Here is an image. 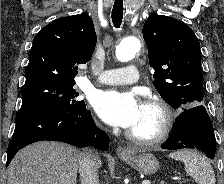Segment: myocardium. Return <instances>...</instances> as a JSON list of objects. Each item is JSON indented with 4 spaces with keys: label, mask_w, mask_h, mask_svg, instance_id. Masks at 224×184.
Returning a JSON list of instances; mask_svg holds the SVG:
<instances>
[{
    "label": "myocardium",
    "mask_w": 224,
    "mask_h": 184,
    "mask_svg": "<svg viewBox=\"0 0 224 184\" xmlns=\"http://www.w3.org/2000/svg\"><path fill=\"white\" fill-rule=\"evenodd\" d=\"M144 106L157 109L161 114V121L158 131L151 137H140L132 131H127V137L133 142L140 145H156L168 138L175 123V113L173 108L163 99L157 97L146 98L143 102Z\"/></svg>",
    "instance_id": "1"
}]
</instances>
